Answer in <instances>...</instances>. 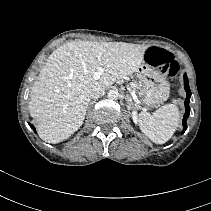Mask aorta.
Masks as SVG:
<instances>
[{
	"label": "aorta",
	"instance_id": "1",
	"mask_svg": "<svg viewBox=\"0 0 211 211\" xmlns=\"http://www.w3.org/2000/svg\"><path fill=\"white\" fill-rule=\"evenodd\" d=\"M120 94L117 90H110L108 92V97L112 100H117L119 98Z\"/></svg>",
	"mask_w": 211,
	"mask_h": 211
}]
</instances>
